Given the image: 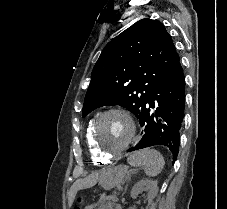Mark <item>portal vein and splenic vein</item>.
<instances>
[{
	"label": "portal vein and splenic vein",
	"instance_id": "obj_1",
	"mask_svg": "<svg viewBox=\"0 0 227 209\" xmlns=\"http://www.w3.org/2000/svg\"><path fill=\"white\" fill-rule=\"evenodd\" d=\"M111 198H112V196L107 194V195L105 196L104 199H105V200H106V199H109V200H110Z\"/></svg>",
	"mask_w": 227,
	"mask_h": 209
}]
</instances>
